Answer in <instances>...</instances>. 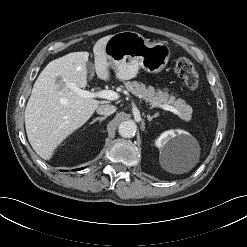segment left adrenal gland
I'll return each instance as SVG.
<instances>
[{
	"instance_id": "a2214340",
	"label": "left adrenal gland",
	"mask_w": 247,
	"mask_h": 247,
	"mask_svg": "<svg viewBox=\"0 0 247 247\" xmlns=\"http://www.w3.org/2000/svg\"><path fill=\"white\" fill-rule=\"evenodd\" d=\"M157 116H158V114H155V115H153V116L147 115V119H148V121L150 122V121L153 120V118H156Z\"/></svg>"
}]
</instances>
